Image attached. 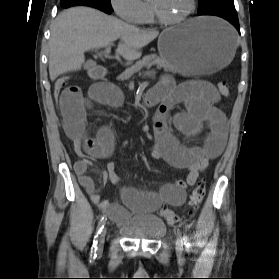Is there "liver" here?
Segmentation results:
<instances>
[{
  "label": "liver",
  "mask_w": 279,
  "mask_h": 279,
  "mask_svg": "<svg viewBox=\"0 0 279 279\" xmlns=\"http://www.w3.org/2000/svg\"><path fill=\"white\" fill-rule=\"evenodd\" d=\"M159 32L144 30L90 7H72L61 12L51 27L49 75L58 76L79 70L84 52L104 47L120 39L116 53L127 61L140 58L141 49Z\"/></svg>",
  "instance_id": "obj_1"
}]
</instances>
